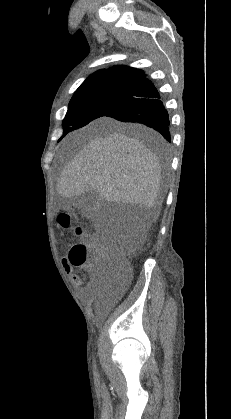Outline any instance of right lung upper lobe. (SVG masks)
Segmentation results:
<instances>
[{"instance_id": "right-lung-upper-lobe-1", "label": "right lung upper lobe", "mask_w": 231, "mask_h": 419, "mask_svg": "<svg viewBox=\"0 0 231 419\" xmlns=\"http://www.w3.org/2000/svg\"><path fill=\"white\" fill-rule=\"evenodd\" d=\"M145 76L144 72L140 69L117 65L95 72L77 90L107 85L135 87Z\"/></svg>"}]
</instances>
